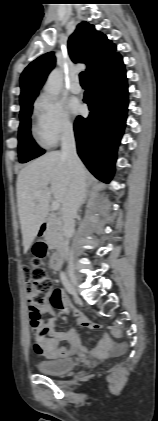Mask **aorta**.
I'll return each instance as SVG.
<instances>
[{
    "label": "aorta",
    "instance_id": "aorta-1",
    "mask_svg": "<svg viewBox=\"0 0 158 421\" xmlns=\"http://www.w3.org/2000/svg\"><path fill=\"white\" fill-rule=\"evenodd\" d=\"M62 77L59 70H53L45 83L44 90L52 97H57L61 91Z\"/></svg>",
    "mask_w": 158,
    "mask_h": 421
}]
</instances>
